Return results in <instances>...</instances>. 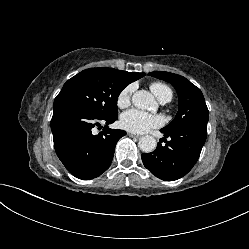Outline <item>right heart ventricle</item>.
<instances>
[{
	"instance_id": "right-heart-ventricle-1",
	"label": "right heart ventricle",
	"mask_w": 249,
	"mask_h": 249,
	"mask_svg": "<svg viewBox=\"0 0 249 249\" xmlns=\"http://www.w3.org/2000/svg\"><path fill=\"white\" fill-rule=\"evenodd\" d=\"M150 89L158 100L162 98H169L170 100L172 99L173 93L171 88L162 82L151 83Z\"/></svg>"
}]
</instances>
